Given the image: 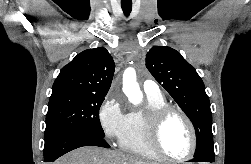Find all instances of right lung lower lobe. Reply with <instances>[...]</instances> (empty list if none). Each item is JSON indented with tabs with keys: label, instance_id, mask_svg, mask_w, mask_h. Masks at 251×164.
I'll use <instances>...</instances> for the list:
<instances>
[{
	"label": "right lung lower lobe",
	"instance_id": "obj_1",
	"mask_svg": "<svg viewBox=\"0 0 251 164\" xmlns=\"http://www.w3.org/2000/svg\"><path fill=\"white\" fill-rule=\"evenodd\" d=\"M83 146L110 147L103 137L93 133L57 131L45 137L44 161L54 162L65 153Z\"/></svg>",
	"mask_w": 251,
	"mask_h": 164
}]
</instances>
